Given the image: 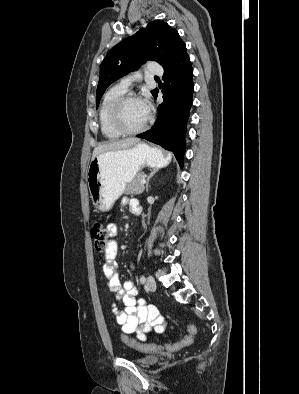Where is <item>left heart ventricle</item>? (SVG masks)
<instances>
[{"label": "left heart ventricle", "mask_w": 299, "mask_h": 394, "mask_svg": "<svg viewBox=\"0 0 299 394\" xmlns=\"http://www.w3.org/2000/svg\"><path fill=\"white\" fill-rule=\"evenodd\" d=\"M148 114L144 111L140 100L127 101L122 109V120L126 127L137 128L147 119Z\"/></svg>", "instance_id": "b2bd125f"}]
</instances>
